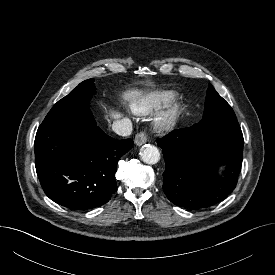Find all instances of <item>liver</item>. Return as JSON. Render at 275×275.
<instances>
[{
    "mask_svg": "<svg viewBox=\"0 0 275 275\" xmlns=\"http://www.w3.org/2000/svg\"><path fill=\"white\" fill-rule=\"evenodd\" d=\"M143 96L144 95H143L142 90L134 89V90H130L127 93H125L124 99L130 100V99H135V98H143ZM111 116L115 119L121 117V115L116 112L112 113Z\"/></svg>",
    "mask_w": 275,
    "mask_h": 275,
    "instance_id": "obj_1",
    "label": "liver"
}]
</instances>
